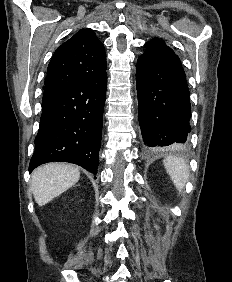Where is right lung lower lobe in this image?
I'll use <instances>...</instances> for the list:
<instances>
[{
    "label": "right lung lower lobe",
    "mask_w": 232,
    "mask_h": 282,
    "mask_svg": "<svg viewBox=\"0 0 232 282\" xmlns=\"http://www.w3.org/2000/svg\"><path fill=\"white\" fill-rule=\"evenodd\" d=\"M106 88L105 72L73 85L43 109L29 172L63 161L97 173Z\"/></svg>",
    "instance_id": "right-lung-lower-lobe-1"
}]
</instances>
